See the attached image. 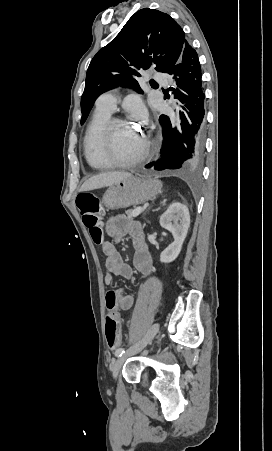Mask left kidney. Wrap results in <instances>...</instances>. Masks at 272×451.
<instances>
[{
  "mask_svg": "<svg viewBox=\"0 0 272 451\" xmlns=\"http://www.w3.org/2000/svg\"><path fill=\"white\" fill-rule=\"evenodd\" d=\"M160 226L169 229L174 237V241L160 253V261L169 263V261L178 257L190 226V214L187 206L180 204V202L171 204L168 210L162 214Z\"/></svg>",
  "mask_w": 272,
  "mask_h": 451,
  "instance_id": "left-kidney-1",
  "label": "left kidney"
}]
</instances>
